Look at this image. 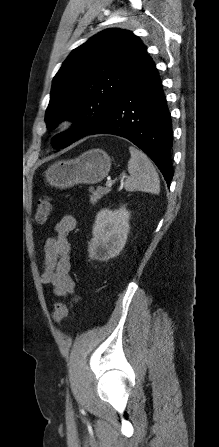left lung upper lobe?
<instances>
[{
  "label": "left lung upper lobe",
  "instance_id": "5c2ea615",
  "mask_svg": "<svg viewBox=\"0 0 219 447\" xmlns=\"http://www.w3.org/2000/svg\"><path fill=\"white\" fill-rule=\"evenodd\" d=\"M146 47L130 31L109 29L74 49L53 79L47 128L65 118L76 123L54 142L65 148L86 136L130 83L146 57Z\"/></svg>",
  "mask_w": 219,
  "mask_h": 447
}]
</instances>
